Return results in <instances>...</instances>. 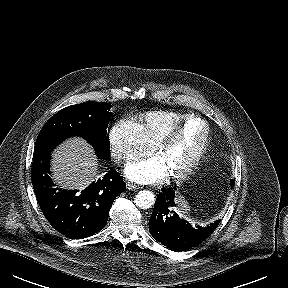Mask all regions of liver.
<instances>
[{"label": "liver", "mask_w": 288, "mask_h": 288, "mask_svg": "<svg viewBox=\"0 0 288 288\" xmlns=\"http://www.w3.org/2000/svg\"><path fill=\"white\" fill-rule=\"evenodd\" d=\"M98 161L92 147L81 138H70L52 153V178L64 189H84L97 177Z\"/></svg>", "instance_id": "6515ba94"}]
</instances>
